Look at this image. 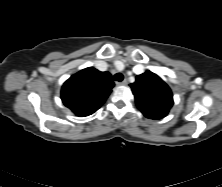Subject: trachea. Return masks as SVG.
Instances as JSON below:
<instances>
[{"label": "trachea", "instance_id": "obj_1", "mask_svg": "<svg viewBox=\"0 0 222 187\" xmlns=\"http://www.w3.org/2000/svg\"><path fill=\"white\" fill-rule=\"evenodd\" d=\"M123 78H124V76H123L122 73H117V74H115V76H114V80H115V81H118V82H121V81L123 80Z\"/></svg>", "mask_w": 222, "mask_h": 187}]
</instances>
